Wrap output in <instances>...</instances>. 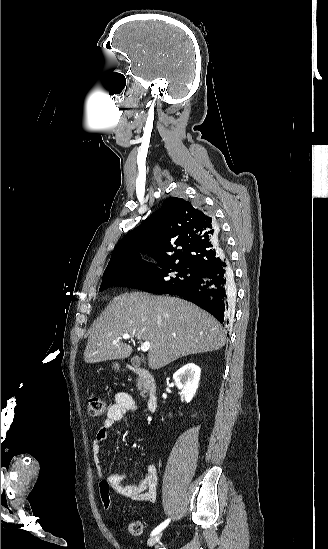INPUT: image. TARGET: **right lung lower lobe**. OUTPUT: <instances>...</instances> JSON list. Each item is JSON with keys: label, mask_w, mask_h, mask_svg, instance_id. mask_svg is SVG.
<instances>
[{"label": "right lung lower lobe", "mask_w": 328, "mask_h": 549, "mask_svg": "<svg viewBox=\"0 0 328 549\" xmlns=\"http://www.w3.org/2000/svg\"><path fill=\"white\" fill-rule=\"evenodd\" d=\"M234 275L227 256L197 270L192 281L162 294L178 295L211 313L220 323L228 324V293H234Z\"/></svg>", "instance_id": "98d812e1"}]
</instances>
